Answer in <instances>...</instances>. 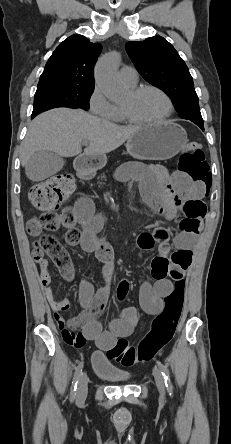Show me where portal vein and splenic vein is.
Listing matches in <instances>:
<instances>
[{
    "label": "portal vein and splenic vein",
    "mask_w": 231,
    "mask_h": 444,
    "mask_svg": "<svg viewBox=\"0 0 231 444\" xmlns=\"http://www.w3.org/2000/svg\"><path fill=\"white\" fill-rule=\"evenodd\" d=\"M82 144H83V145H87L88 142H87V141H83Z\"/></svg>",
    "instance_id": "obj_1"
}]
</instances>
